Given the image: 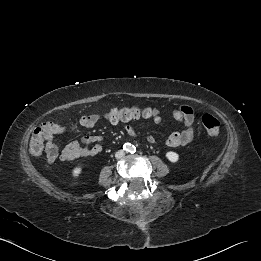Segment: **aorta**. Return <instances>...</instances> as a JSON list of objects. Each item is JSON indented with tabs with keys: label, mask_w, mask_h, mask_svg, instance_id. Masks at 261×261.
I'll return each mask as SVG.
<instances>
[{
	"label": "aorta",
	"mask_w": 261,
	"mask_h": 261,
	"mask_svg": "<svg viewBox=\"0 0 261 261\" xmlns=\"http://www.w3.org/2000/svg\"><path fill=\"white\" fill-rule=\"evenodd\" d=\"M134 149H135V146H134V145L127 144V146H126V150H127L128 152H133Z\"/></svg>",
	"instance_id": "1"
}]
</instances>
